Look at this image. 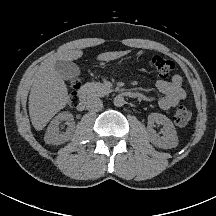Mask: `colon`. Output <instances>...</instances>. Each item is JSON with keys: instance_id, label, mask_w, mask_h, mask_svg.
<instances>
[{"instance_id": "5ec220e1", "label": "colon", "mask_w": 216, "mask_h": 216, "mask_svg": "<svg viewBox=\"0 0 216 216\" xmlns=\"http://www.w3.org/2000/svg\"><path fill=\"white\" fill-rule=\"evenodd\" d=\"M151 66L155 74L160 78L167 77L174 68V64L171 60L160 56L154 55L151 58ZM71 91L69 96V101L71 106H76L78 104V81H72L70 85ZM174 123L176 126L183 128L188 125L191 119V113L185 105H178L174 113Z\"/></svg>"}]
</instances>
